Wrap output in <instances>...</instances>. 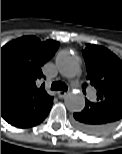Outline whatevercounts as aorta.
Returning a JSON list of instances; mask_svg holds the SVG:
<instances>
[{"instance_id":"762f6f07","label":"aorta","mask_w":122,"mask_h":154,"mask_svg":"<svg viewBox=\"0 0 122 154\" xmlns=\"http://www.w3.org/2000/svg\"><path fill=\"white\" fill-rule=\"evenodd\" d=\"M58 71L66 78H74L80 71V63L77 56L69 51H61L56 58ZM65 105L71 112H80L85 107V98L81 93L70 92L65 97Z\"/></svg>"}]
</instances>
